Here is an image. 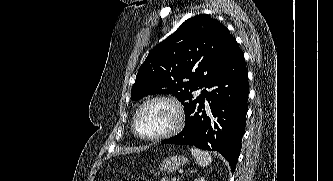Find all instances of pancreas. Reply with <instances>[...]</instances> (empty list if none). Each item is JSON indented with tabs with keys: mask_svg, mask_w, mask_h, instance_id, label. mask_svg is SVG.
<instances>
[{
	"mask_svg": "<svg viewBox=\"0 0 333 181\" xmlns=\"http://www.w3.org/2000/svg\"><path fill=\"white\" fill-rule=\"evenodd\" d=\"M161 181H169V180H165V179H163V180H161Z\"/></svg>",
	"mask_w": 333,
	"mask_h": 181,
	"instance_id": "1",
	"label": "pancreas"
}]
</instances>
